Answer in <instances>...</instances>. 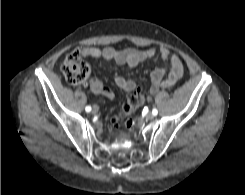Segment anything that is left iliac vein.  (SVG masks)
Instances as JSON below:
<instances>
[{"mask_svg":"<svg viewBox=\"0 0 245 195\" xmlns=\"http://www.w3.org/2000/svg\"><path fill=\"white\" fill-rule=\"evenodd\" d=\"M147 118L151 120V119L154 118V115H153L152 113H148V114H147Z\"/></svg>","mask_w":245,"mask_h":195,"instance_id":"obj_1","label":"left iliac vein"}]
</instances>
